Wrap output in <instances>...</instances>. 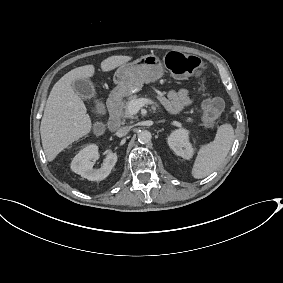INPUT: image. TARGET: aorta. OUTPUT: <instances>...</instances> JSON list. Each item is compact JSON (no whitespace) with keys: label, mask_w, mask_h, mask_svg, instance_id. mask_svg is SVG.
<instances>
[{"label":"aorta","mask_w":283,"mask_h":283,"mask_svg":"<svg viewBox=\"0 0 283 283\" xmlns=\"http://www.w3.org/2000/svg\"><path fill=\"white\" fill-rule=\"evenodd\" d=\"M152 135L147 130H142L138 133V141L142 144H146L151 141Z\"/></svg>","instance_id":"obj_1"}]
</instances>
